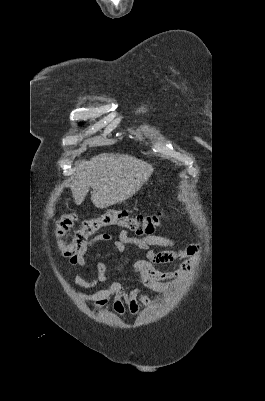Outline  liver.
<instances>
[{"mask_svg":"<svg viewBox=\"0 0 265 401\" xmlns=\"http://www.w3.org/2000/svg\"><path fill=\"white\" fill-rule=\"evenodd\" d=\"M153 172L152 164L129 156L103 152L75 166L70 184L75 205H81L91 190V201L97 209L123 203L140 190Z\"/></svg>","mask_w":265,"mask_h":401,"instance_id":"6515ba94","label":"liver"}]
</instances>
